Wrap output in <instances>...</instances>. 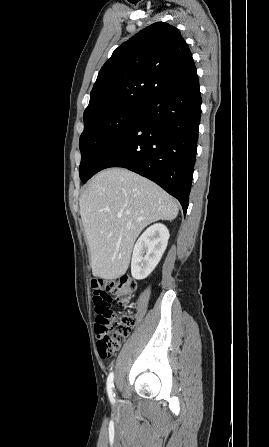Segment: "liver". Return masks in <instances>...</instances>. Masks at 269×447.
I'll list each match as a JSON object with an SVG mask.
<instances>
[{
  "mask_svg": "<svg viewBox=\"0 0 269 447\" xmlns=\"http://www.w3.org/2000/svg\"><path fill=\"white\" fill-rule=\"evenodd\" d=\"M79 206L93 275L103 279H116L126 273L134 241L146 225L175 220L179 212L172 196L124 168H108L96 174Z\"/></svg>",
  "mask_w": 269,
  "mask_h": 447,
  "instance_id": "1",
  "label": "liver"
}]
</instances>
